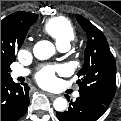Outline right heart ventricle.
Returning a JSON list of instances; mask_svg holds the SVG:
<instances>
[{
	"label": "right heart ventricle",
	"mask_w": 121,
	"mask_h": 121,
	"mask_svg": "<svg viewBox=\"0 0 121 121\" xmlns=\"http://www.w3.org/2000/svg\"><path fill=\"white\" fill-rule=\"evenodd\" d=\"M43 31L50 35L58 47L70 46L75 38V29L70 21L63 17H54L45 22Z\"/></svg>",
	"instance_id": "right-heart-ventricle-1"
}]
</instances>
